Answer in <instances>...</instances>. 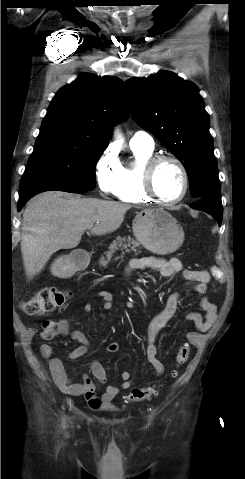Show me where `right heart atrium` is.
<instances>
[{
    "label": "right heart atrium",
    "mask_w": 245,
    "mask_h": 479,
    "mask_svg": "<svg viewBox=\"0 0 245 479\" xmlns=\"http://www.w3.org/2000/svg\"><path fill=\"white\" fill-rule=\"evenodd\" d=\"M122 166L112 149H107L99 158L95 175L99 191L104 196L116 195Z\"/></svg>",
    "instance_id": "1"
}]
</instances>
